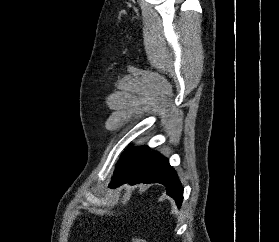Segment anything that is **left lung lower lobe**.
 <instances>
[{
    "instance_id": "obj_1",
    "label": "left lung lower lobe",
    "mask_w": 279,
    "mask_h": 242,
    "mask_svg": "<svg viewBox=\"0 0 279 242\" xmlns=\"http://www.w3.org/2000/svg\"><path fill=\"white\" fill-rule=\"evenodd\" d=\"M123 183H161L165 185L167 195L180 206L183 200V187L176 172L169 165L167 158L158 152L149 151L135 163L122 177L110 185L117 187Z\"/></svg>"
}]
</instances>
